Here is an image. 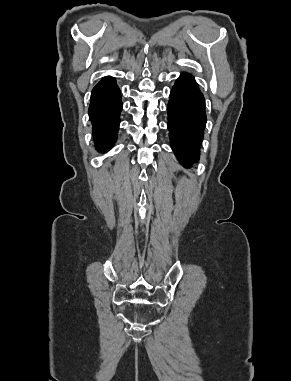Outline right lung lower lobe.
<instances>
[{"label":"right lung lower lobe","instance_id":"obj_1","mask_svg":"<svg viewBox=\"0 0 291 381\" xmlns=\"http://www.w3.org/2000/svg\"><path fill=\"white\" fill-rule=\"evenodd\" d=\"M121 110L120 90L115 79L102 78L92 90L89 107L93 138L99 151L105 152L116 141Z\"/></svg>","mask_w":291,"mask_h":381}]
</instances>
